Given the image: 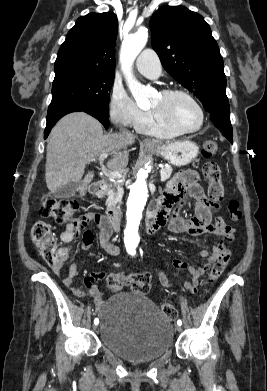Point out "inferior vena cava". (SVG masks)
I'll use <instances>...</instances> for the list:
<instances>
[{
	"label": "inferior vena cava",
	"instance_id": "602c4592",
	"mask_svg": "<svg viewBox=\"0 0 267 391\" xmlns=\"http://www.w3.org/2000/svg\"><path fill=\"white\" fill-rule=\"evenodd\" d=\"M120 134L123 135V136H126V137H131L132 136V134L128 130H126L124 128L120 129Z\"/></svg>",
	"mask_w": 267,
	"mask_h": 391
}]
</instances>
